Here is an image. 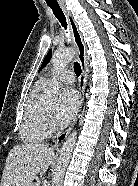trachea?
I'll use <instances>...</instances> for the list:
<instances>
[{
    "mask_svg": "<svg viewBox=\"0 0 138 186\" xmlns=\"http://www.w3.org/2000/svg\"><path fill=\"white\" fill-rule=\"evenodd\" d=\"M47 5L52 9L55 17L59 20V22L61 23V25L67 29V22H66V18L65 15L62 11V9L60 8L59 4L56 2H47ZM74 72L77 76L81 75V66L79 62H75L74 63Z\"/></svg>",
    "mask_w": 138,
    "mask_h": 186,
    "instance_id": "obj_1",
    "label": "trachea"
}]
</instances>
